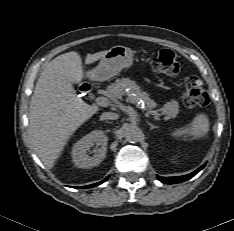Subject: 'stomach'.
I'll list each match as a JSON object with an SVG mask.
<instances>
[{
  "label": "stomach",
  "mask_w": 234,
  "mask_h": 231,
  "mask_svg": "<svg viewBox=\"0 0 234 231\" xmlns=\"http://www.w3.org/2000/svg\"><path fill=\"white\" fill-rule=\"evenodd\" d=\"M133 64V52L125 46H114L101 58L99 64L87 72V76L95 81L108 80L129 68Z\"/></svg>",
  "instance_id": "obj_1"
}]
</instances>
